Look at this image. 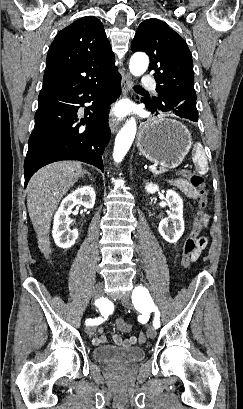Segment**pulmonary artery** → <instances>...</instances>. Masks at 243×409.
Masks as SVG:
<instances>
[{
    "label": "pulmonary artery",
    "instance_id": "pulmonary-artery-1",
    "mask_svg": "<svg viewBox=\"0 0 243 409\" xmlns=\"http://www.w3.org/2000/svg\"><path fill=\"white\" fill-rule=\"evenodd\" d=\"M141 83H142L143 86L155 90V81H154V79H153L151 76L145 75V76L142 78Z\"/></svg>",
    "mask_w": 243,
    "mask_h": 409
}]
</instances>
